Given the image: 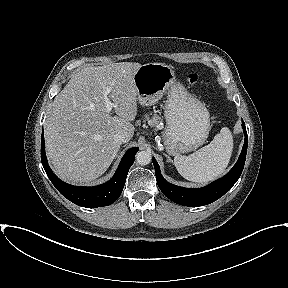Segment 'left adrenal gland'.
<instances>
[{
    "mask_svg": "<svg viewBox=\"0 0 288 288\" xmlns=\"http://www.w3.org/2000/svg\"><path fill=\"white\" fill-rule=\"evenodd\" d=\"M165 156L167 157V161L173 162L168 155H165Z\"/></svg>",
    "mask_w": 288,
    "mask_h": 288,
    "instance_id": "a2214340",
    "label": "left adrenal gland"
}]
</instances>
